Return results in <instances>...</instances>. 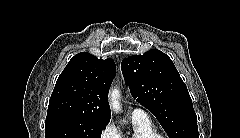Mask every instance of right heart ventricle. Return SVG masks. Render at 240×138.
Instances as JSON below:
<instances>
[{"label":"right heart ventricle","instance_id":"obj_1","mask_svg":"<svg viewBox=\"0 0 240 138\" xmlns=\"http://www.w3.org/2000/svg\"><path fill=\"white\" fill-rule=\"evenodd\" d=\"M120 138H159L158 132L147 116H132V132Z\"/></svg>","mask_w":240,"mask_h":138}]
</instances>
